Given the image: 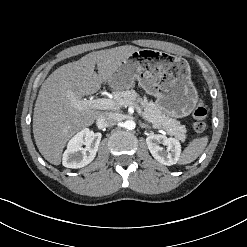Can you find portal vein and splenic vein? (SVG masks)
<instances>
[{
	"instance_id": "portal-vein-and-splenic-vein-1",
	"label": "portal vein and splenic vein",
	"mask_w": 247,
	"mask_h": 247,
	"mask_svg": "<svg viewBox=\"0 0 247 247\" xmlns=\"http://www.w3.org/2000/svg\"><path fill=\"white\" fill-rule=\"evenodd\" d=\"M72 103L79 109H99V110H107L112 109L116 110L119 109L122 105L124 106H134L139 114H141V109L135 103L132 102H116L112 99L107 98H99L93 100H77L76 98H71Z\"/></svg>"
}]
</instances>
